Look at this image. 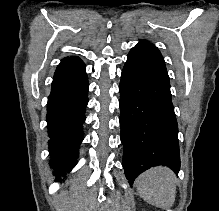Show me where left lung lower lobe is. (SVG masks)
Instances as JSON below:
<instances>
[{
	"label": "left lung lower lobe",
	"mask_w": 219,
	"mask_h": 211,
	"mask_svg": "<svg viewBox=\"0 0 219 211\" xmlns=\"http://www.w3.org/2000/svg\"><path fill=\"white\" fill-rule=\"evenodd\" d=\"M119 90L123 167L129 184L157 165L177 173L178 125L165 63L131 49Z\"/></svg>",
	"instance_id": "left-lung-lower-lobe-1"
}]
</instances>
